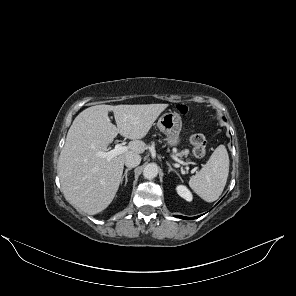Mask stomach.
Segmentation results:
<instances>
[{"label":"stomach","instance_id":"1","mask_svg":"<svg viewBox=\"0 0 296 296\" xmlns=\"http://www.w3.org/2000/svg\"><path fill=\"white\" fill-rule=\"evenodd\" d=\"M157 126L166 135L165 140L169 146L179 145L182 120L178 113L167 112L163 114L159 118Z\"/></svg>","mask_w":296,"mask_h":296}]
</instances>
